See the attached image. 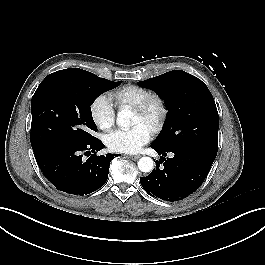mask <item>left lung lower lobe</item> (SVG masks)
<instances>
[{
	"label": "left lung lower lobe",
	"mask_w": 265,
	"mask_h": 265,
	"mask_svg": "<svg viewBox=\"0 0 265 265\" xmlns=\"http://www.w3.org/2000/svg\"><path fill=\"white\" fill-rule=\"evenodd\" d=\"M151 148L162 156L160 161H156V169L148 176L141 177L140 183L149 195L167 201L181 200L197 190L216 157L191 146L164 150L151 145ZM167 152L173 153V157L165 158ZM160 163H163V167H160Z\"/></svg>",
	"instance_id": "obj_1"
}]
</instances>
